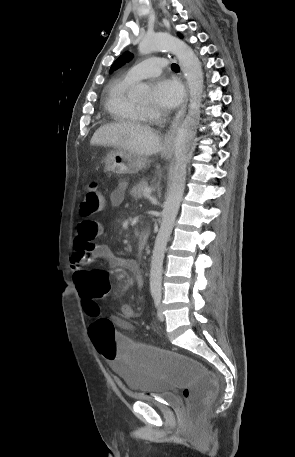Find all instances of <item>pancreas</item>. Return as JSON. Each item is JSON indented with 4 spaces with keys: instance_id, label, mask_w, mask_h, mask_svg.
<instances>
[{
    "instance_id": "pancreas-1",
    "label": "pancreas",
    "mask_w": 295,
    "mask_h": 457,
    "mask_svg": "<svg viewBox=\"0 0 295 457\" xmlns=\"http://www.w3.org/2000/svg\"><path fill=\"white\" fill-rule=\"evenodd\" d=\"M148 187L146 181L140 182L138 185H135L131 190V195L133 198H142L144 196V189Z\"/></svg>"
}]
</instances>
